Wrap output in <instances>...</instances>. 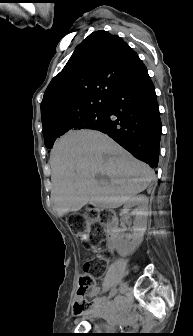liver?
Wrapping results in <instances>:
<instances>
[{
  "label": "liver",
  "instance_id": "1",
  "mask_svg": "<svg viewBox=\"0 0 193 336\" xmlns=\"http://www.w3.org/2000/svg\"><path fill=\"white\" fill-rule=\"evenodd\" d=\"M52 197L59 217L86 204L113 209L144 191L154 171L98 131H75L50 154ZM98 175L110 181L97 180Z\"/></svg>",
  "mask_w": 193,
  "mask_h": 336
}]
</instances>
